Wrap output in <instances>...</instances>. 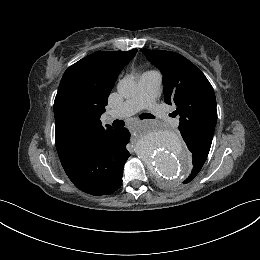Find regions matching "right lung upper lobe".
Wrapping results in <instances>:
<instances>
[{
    "mask_svg": "<svg viewBox=\"0 0 260 260\" xmlns=\"http://www.w3.org/2000/svg\"><path fill=\"white\" fill-rule=\"evenodd\" d=\"M136 52L97 51L65 71L54 101L60 160L88 140L113 131L110 125L102 126L100 117L119 73Z\"/></svg>",
    "mask_w": 260,
    "mask_h": 260,
    "instance_id": "cb5924a9",
    "label": "right lung upper lobe"
}]
</instances>
